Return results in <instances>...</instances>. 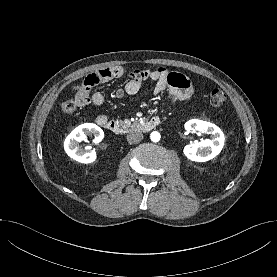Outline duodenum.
Segmentation results:
<instances>
[{
    "mask_svg": "<svg viewBox=\"0 0 277 277\" xmlns=\"http://www.w3.org/2000/svg\"><path fill=\"white\" fill-rule=\"evenodd\" d=\"M159 123H160L159 118L153 117L150 120L143 123L142 129L146 132L150 131L153 128H155L156 126H158ZM97 124L99 126H101L102 128H104L114 134H121L123 131L121 125L118 122H116L114 120H110L108 118L100 119Z\"/></svg>",
    "mask_w": 277,
    "mask_h": 277,
    "instance_id": "1",
    "label": "duodenum"
}]
</instances>
